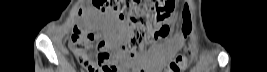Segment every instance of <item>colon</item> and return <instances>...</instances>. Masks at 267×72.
Instances as JSON below:
<instances>
[{"label":"colon","instance_id":"colon-1","mask_svg":"<svg viewBox=\"0 0 267 72\" xmlns=\"http://www.w3.org/2000/svg\"><path fill=\"white\" fill-rule=\"evenodd\" d=\"M95 7L102 12H112L118 15L120 22L129 33L125 49L130 54L138 53L146 44L165 39L169 35L167 18L173 10L171 0H94ZM192 28L191 21L185 19L182 24L183 33L187 34ZM71 41L80 56L82 66L87 65L92 72H115L118 70L117 61L107 51H91V39L86 30L75 27ZM104 46L99 43V48ZM192 51L177 57L171 65V72H180L189 64Z\"/></svg>","mask_w":267,"mask_h":72}]
</instances>
